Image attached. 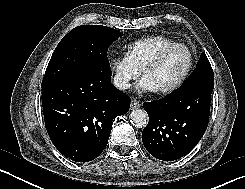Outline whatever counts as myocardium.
I'll return each mask as SVG.
<instances>
[{
    "mask_svg": "<svg viewBox=\"0 0 245 189\" xmlns=\"http://www.w3.org/2000/svg\"><path fill=\"white\" fill-rule=\"evenodd\" d=\"M176 48H183L187 51L188 56H189V62H188V66L186 68V70L183 72V74L180 76V78L178 80H176L173 84L169 85L168 87H165L163 89L157 90L156 92L160 95H167L170 93L175 92L176 90H178L188 79V77L190 76L192 69L194 67V62H195V58H194V54L192 52V50L185 44L182 43H172L169 45H166L164 47H162L143 67V69L141 70V75L142 77H144V75L151 69H153L154 67H156L164 58V56L170 52L173 49Z\"/></svg>",
    "mask_w": 245,
    "mask_h": 189,
    "instance_id": "1",
    "label": "myocardium"
}]
</instances>
